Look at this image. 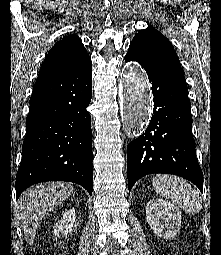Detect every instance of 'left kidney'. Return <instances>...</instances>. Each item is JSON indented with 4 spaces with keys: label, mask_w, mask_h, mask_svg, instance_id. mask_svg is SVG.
I'll return each instance as SVG.
<instances>
[{
    "label": "left kidney",
    "mask_w": 221,
    "mask_h": 255,
    "mask_svg": "<svg viewBox=\"0 0 221 255\" xmlns=\"http://www.w3.org/2000/svg\"><path fill=\"white\" fill-rule=\"evenodd\" d=\"M181 216L175 205L163 199H151L147 203V222L153 232L160 238L170 239L179 231Z\"/></svg>",
    "instance_id": "left-kidney-1"
}]
</instances>
